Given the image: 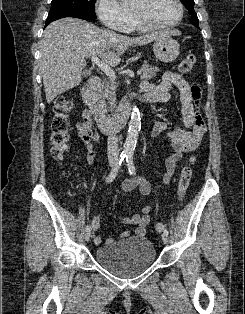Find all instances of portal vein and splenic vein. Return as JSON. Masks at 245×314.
I'll return each mask as SVG.
<instances>
[{"instance_id":"obj_1","label":"portal vein and splenic vein","mask_w":245,"mask_h":314,"mask_svg":"<svg viewBox=\"0 0 245 314\" xmlns=\"http://www.w3.org/2000/svg\"><path fill=\"white\" fill-rule=\"evenodd\" d=\"M91 61L96 64L112 81L116 79L113 69L104 61H101L97 56H92ZM142 73L141 70L137 71V75Z\"/></svg>"}]
</instances>
